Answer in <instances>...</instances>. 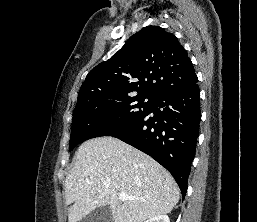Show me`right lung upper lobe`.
I'll return each instance as SVG.
<instances>
[{
	"mask_svg": "<svg viewBox=\"0 0 257 222\" xmlns=\"http://www.w3.org/2000/svg\"><path fill=\"white\" fill-rule=\"evenodd\" d=\"M196 80L193 64L177 37L159 26H147L88 73L77 104L101 96L155 98Z\"/></svg>",
	"mask_w": 257,
	"mask_h": 222,
	"instance_id": "cb5924a9",
	"label": "right lung upper lobe"
}]
</instances>
